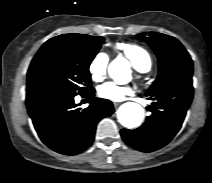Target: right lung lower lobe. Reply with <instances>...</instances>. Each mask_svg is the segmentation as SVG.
I'll return each instance as SVG.
<instances>
[{
    "mask_svg": "<svg viewBox=\"0 0 212 183\" xmlns=\"http://www.w3.org/2000/svg\"><path fill=\"white\" fill-rule=\"evenodd\" d=\"M81 96L90 100L89 107L78 108L76 92L56 88L35 87L26 92V105L42 142L65 155H76L93 142L97 123L113 112L112 102L94 98L89 88Z\"/></svg>",
    "mask_w": 212,
    "mask_h": 183,
    "instance_id": "1",
    "label": "right lung lower lobe"
}]
</instances>
